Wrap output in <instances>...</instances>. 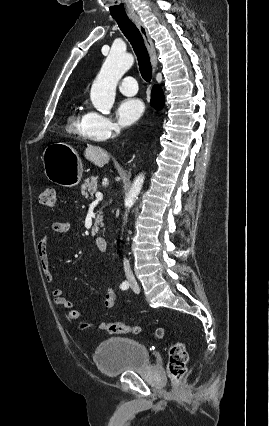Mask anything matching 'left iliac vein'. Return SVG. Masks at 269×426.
I'll use <instances>...</instances> for the list:
<instances>
[{
    "mask_svg": "<svg viewBox=\"0 0 269 426\" xmlns=\"http://www.w3.org/2000/svg\"><path fill=\"white\" fill-rule=\"evenodd\" d=\"M131 289L135 292V293H139L140 288L137 284V282L135 280L131 281Z\"/></svg>",
    "mask_w": 269,
    "mask_h": 426,
    "instance_id": "obj_1",
    "label": "left iliac vein"
}]
</instances>
